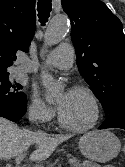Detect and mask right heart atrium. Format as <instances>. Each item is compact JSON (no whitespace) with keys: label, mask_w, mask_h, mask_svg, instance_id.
I'll use <instances>...</instances> for the list:
<instances>
[{"label":"right heart atrium","mask_w":125,"mask_h":167,"mask_svg":"<svg viewBox=\"0 0 125 167\" xmlns=\"http://www.w3.org/2000/svg\"><path fill=\"white\" fill-rule=\"evenodd\" d=\"M27 111L36 123L49 124L55 118L54 110L47 106L36 93L30 94Z\"/></svg>","instance_id":"obj_1"}]
</instances>
